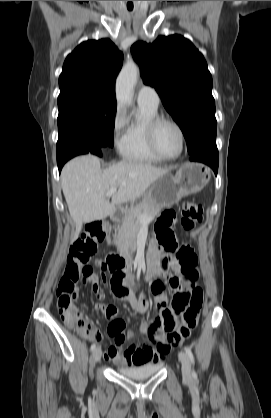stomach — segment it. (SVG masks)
Wrapping results in <instances>:
<instances>
[{"label": "stomach", "instance_id": "1", "mask_svg": "<svg viewBox=\"0 0 271 418\" xmlns=\"http://www.w3.org/2000/svg\"><path fill=\"white\" fill-rule=\"evenodd\" d=\"M211 170L201 163H185L173 175L166 173L159 177L142 195V200L151 201L157 207H169L182 197L201 191L209 182ZM139 201L133 203L137 205ZM119 220V217H114Z\"/></svg>", "mask_w": 271, "mask_h": 418}]
</instances>
